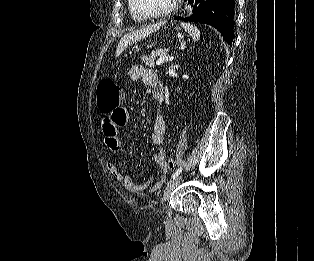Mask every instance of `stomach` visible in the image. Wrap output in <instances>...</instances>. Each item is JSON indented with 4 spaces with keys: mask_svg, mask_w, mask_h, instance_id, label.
Returning a JSON list of instances; mask_svg holds the SVG:
<instances>
[{
    "mask_svg": "<svg viewBox=\"0 0 314 261\" xmlns=\"http://www.w3.org/2000/svg\"><path fill=\"white\" fill-rule=\"evenodd\" d=\"M153 45H154V43L149 44V45L147 46V49L152 48Z\"/></svg>",
    "mask_w": 314,
    "mask_h": 261,
    "instance_id": "1",
    "label": "stomach"
}]
</instances>
